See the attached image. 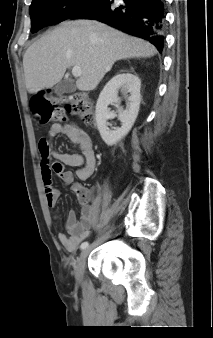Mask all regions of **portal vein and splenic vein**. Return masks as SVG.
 Returning a JSON list of instances; mask_svg holds the SVG:
<instances>
[{
    "label": "portal vein and splenic vein",
    "mask_w": 213,
    "mask_h": 338,
    "mask_svg": "<svg viewBox=\"0 0 213 338\" xmlns=\"http://www.w3.org/2000/svg\"><path fill=\"white\" fill-rule=\"evenodd\" d=\"M72 74H73L74 77H80L81 74H82L81 68L78 67V66L73 67L72 68Z\"/></svg>",
    "instance_id": "obj_1"
}]
</instances>
